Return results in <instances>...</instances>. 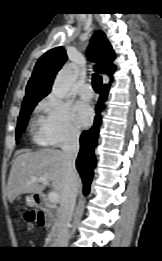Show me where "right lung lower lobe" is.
<instances>
[{"mask_svg": "<svg viewBox=\"0 0 162 261\" xmlns=\"http://www.w3.org/2000/svg\"><path fill=\"white\" fill-rule=\"evenodd\" d=\"M109 86H103L100 93V99L96 106V117L93 127L84 131L80 137V152L76 160V167L83 181V191L87 195L90 190V184L93 177V168L96 165V158L94 155V147L97 143L99 127L101 125L100 112L104 108L103 102L108 94Z\"/></svg>", "mask_w": 162, "mask_h": 261, "instance_id": "98d812e1", "label": "right lung lower lobe"}]
</instances>
